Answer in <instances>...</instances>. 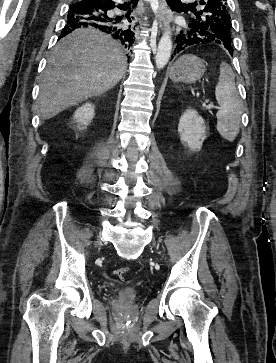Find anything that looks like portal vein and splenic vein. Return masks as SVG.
<instances>
[{
	"label": "portal vein and splenic vein",
	"instance_id": "obj_1",
	"mask_svg": "<svg viewBox=\"0 0 276 363\" xmlns=\"http://www.w3.org/2000/svg\"><path fill=\"white\" fill-rule=\"evenodd\" d=\"M202 106H203V107H205V108H207V109H212V108H214V105H213V104H207V102H203V103H202Z\"/></svg>",
	"mask_w": 276,
	"mask_h": 363
}]
</instances>
